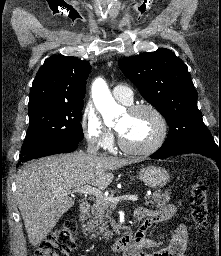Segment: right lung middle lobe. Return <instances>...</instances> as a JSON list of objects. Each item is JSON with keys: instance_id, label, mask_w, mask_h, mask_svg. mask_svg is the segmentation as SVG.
Instances as JSON below:
<instances>
[{"instance_id": "right-lung-middle-lobe-1", "label": "right lung middle lobe", "mask_w": 221, "mask_h": 256, "mask_svg": "<svg viewBox=\"0 0 221 256\" xmlns=\"http://www.w3.org/2000/svg\"><path fill=\"white\" fill-rule=\"evenodd\" d=\"M83 103L48 105L28 110L29 128L20 157L47 143L84 137L80 123Z\"/></svg>"}]
</instances>
